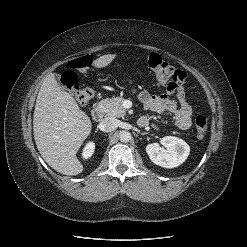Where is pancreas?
Listing matches in <instances>:
<instances>
[{
    "instance_id": "pancreas-1",
    "label": "pancreas",
    "mask_w": 247,
    "mask_h": 247,
    "mask_svg": "<svg viewBox=\"0 0 247 247\" xmlns=\"http://www.w3.org/2000/svg\"><path fill=\"white\" fill-rule=\"evenodd\" d=\"M124 98L122 97H112L106 98L100 101L99 106L111 117H124L126 109L123 107Z\"/></svg>"
}]
</instances>
